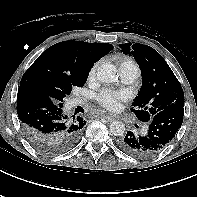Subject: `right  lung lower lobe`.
<instances>
[{
	"mask_svg": "<svg viewBox=\"0 0 197 197\" xmlns=\"http://www.w3.org/2000/svg\"><path fill=\"white\" fill-rule=\"evenodd\" d=\"M17 114L27 137L50 154L74 147L86 124L79 116L69 117L63 104L55 103L45 93L30 87H19Z\"/></svg>",
	"mask_w": 197,
	"mask_h": 197,
	"instance_id": "1",
	"label": "right lung lower lobe"
}]
</instances>
